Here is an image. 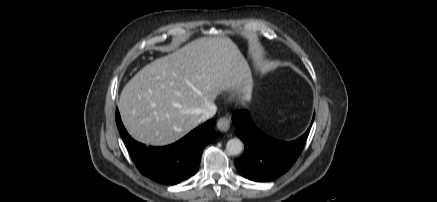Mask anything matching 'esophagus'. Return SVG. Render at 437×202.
<instances>
[{
  "mask_svg": "<svg viewBox=\"0 0 437 202\" xmlns=\"http://www.w3.org/2000/svg\"><path fill=\"white\" fill-rule=\"evenodd\" d=\"M217 128L222 132L228 131L230 128V118L227 116L219 118L217 121Z\"/></svg>",
  "mask_w": 437,
  "mask_h": 202,
  "instance_id": "esophagus-1",
  "label": "esophagus"
}]
</instances>
